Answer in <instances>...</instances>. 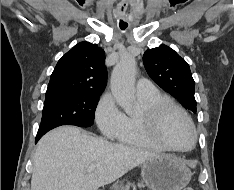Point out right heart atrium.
<instances>
[{"label": "right heart atrium", "instance_id": "right-heart-atrium-1", "mask_svg": "<svg viewBox=\"0 0 234 190\" xmlns=\"http://www.w3.org/2000/svg\"><path fill=\"white\" fill-rule=\"evenodd\" d=\"M124 113L118 107L111 93H104L95 108V121L100 131L109 138H114L119 133Z\"/></svg>", "mask_w": 234, "mask_h": 190}]
</instances>
